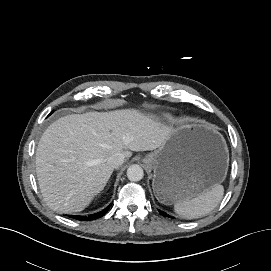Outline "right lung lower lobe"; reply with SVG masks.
I'll use <instances>...</instances> for the list:
<instances>
[{
    "label": "right lung lower lobe",
    "mask_w": 271,
    "mask_h": 271,
    "mask_svg": "<svg viewBox=\"0 0 271 271\" xmlns=\"http://www.w3.org/2000/svg\"><path fill=\"white\" fill-rule=\"evenodd\" d=\"M108 210H109V206L106 207L101 212H98V213H95V214H91L89 216L70 215L69 217L77 219V220L89 221V220H94V219H97V218H100V217L104 216L107 213Z\"/></svg>",
    "instance_id": "obj_1"
}]
</instances>
